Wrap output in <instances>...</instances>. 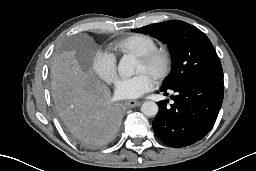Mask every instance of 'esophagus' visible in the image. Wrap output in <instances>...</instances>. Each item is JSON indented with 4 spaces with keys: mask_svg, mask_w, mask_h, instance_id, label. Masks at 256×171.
<instances>
[{
    "mask_svg": "<svg viewBox=\"0 0 256 171\" xmlns=\"http://www.w3.org/2000/svg\"><path fill=\"white\" fill-rule=\"evenodd\" d=\"M125 105L129 108H134L140 105V101L137 100H127Z\"/></svg>",
    "mask_w": 256,
    "mask_h": 171,
    "instance_id": "1",
    "label": "esophagus"
}]
</instances>
